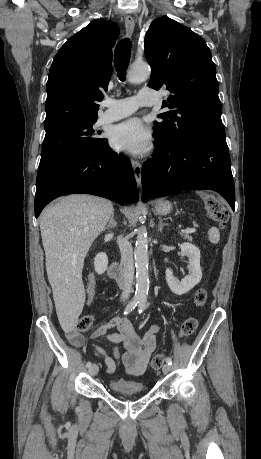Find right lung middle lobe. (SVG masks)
Listing matches in <instances>:
<instances>
[{
    "label": "right lung middle lobe",
    "instance_id": "dd1d6c3e",
    "mask_svg": "<svg viewBox=\"0 0 261 459\" xmlns=\"http://www.w3.org/2000/svg\"><path fill=\"white\" fill-rule=\"evenodd\" d=\"M97 119L66 121L46 129L38 173L65 159L100 151L107 139L92 127Z\"/></svg>",
    "mask_w": 261,
    "mask_h": 459
}]
</instances>
